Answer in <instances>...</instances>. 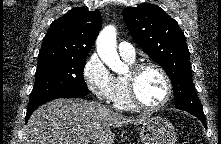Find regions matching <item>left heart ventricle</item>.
I'll return each mask as SVG.
<instances>
[{"label":"left heart ventricle","mask_w":221,"mask_h":144,"mask_svg":"<svg viewBox=\"0 0 221 144\" xmlns=\"http://www.w3.org/2000/svg\"><path fill=\"white\" fill-rule=\"evenodd\" d=\"M136 90L139 99L143 103L147 105H156L165 97L166 84L163 76L158 70L147 68L138 76Z\"/></svg>","instance_id":"obj_1"}]
</instances>
